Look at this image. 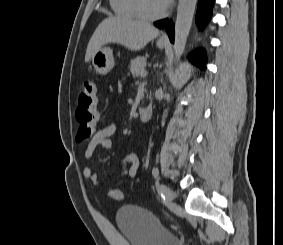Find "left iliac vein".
Instances as JSON below:
<instances>
[{
  "mask_svg": "<svg viewBox=\"0 0 283 245\" xmlns=\"http://www.w3.org/2000/svg\"><path fill=\"white\" fill-rule=\"evenodd\" d=\"M160 190L163 195L164 201L168 206L173 205V200H174V192L167 186L165 185H160Z\"/></svg>",
  "mask_w": 283,
  "mask_h": 245,
  "instance_id": "4c4485c4",
  "label": "left iliac vein"
}]
</instances>
